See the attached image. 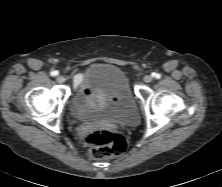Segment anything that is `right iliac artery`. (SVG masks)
Instances as JSON below:
<instances>
[{
  "label": "right iliac artery",
  "mask_w": 222,
  "mask_h": 187,
  "mask_svg": "<svg viewBox=\"0 0 222 187\" xmlns=\"http://www.w3.org/2000/svg\"><path fill=\"white\" fill-rule=\"evenodd\" d=\"M50 74H51V76H56V75H58V71H52Z\"/></svg>",
  "instance_id": "1"
}]
</instances>
